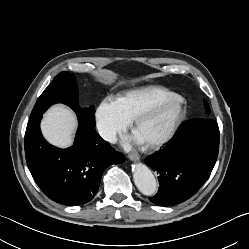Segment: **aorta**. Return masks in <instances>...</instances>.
<instances>
[{"label":"aorta","instance_id":"1","mask_svg":"<svg viewBox=\"0 0 249 249\" xmlns=\"http://www.w3.org/2000/svg\"><path fill=\"white\" fill-rule=\"evenodd\" d=\"M133 179L138 190L146 196H152L157 191V182L151 170L142 163L132 166Z\"/></svg>","mask_w":249,"mask_h":249}]
</instances>
